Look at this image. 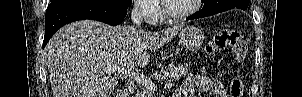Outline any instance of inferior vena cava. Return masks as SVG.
Listing matches in <instances>:
<instances>
[{
  "mask_svg": "<svg viewBox=\"0 0 302 97\" xmlns=\"http://www.w3.org/2000/svg\"><path fill=\"white\" fill-rule=\"evenodd\" d=\"M142 5L137 4L134 6L131 12V20L137 28H141V24L143 22V13H142Z\"/></svg>",
  "mask_w": 302,
  "mask_h": 97,
  "instance_id": "obj_1",
  "label": "inferior vena cava"
}]
</instances>
